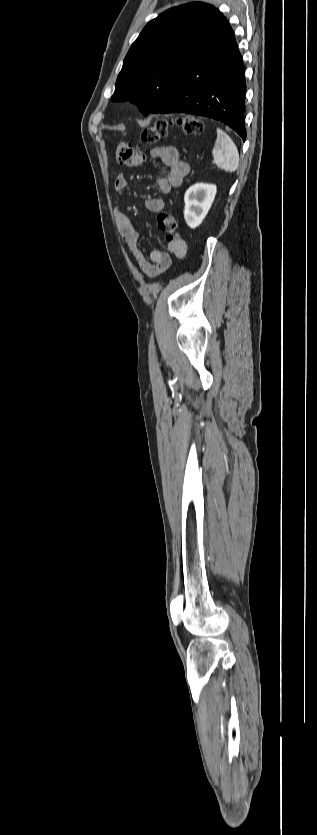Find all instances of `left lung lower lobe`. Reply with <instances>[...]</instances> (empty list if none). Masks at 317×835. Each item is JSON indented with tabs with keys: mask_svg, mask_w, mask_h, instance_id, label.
<instances>
[{
	"mask_svg": "<svg viewBox=\"0 0 317 835\" xmlns=\"http://www.w3.org/2000/svg\"><path fill=\"white\" fill-rule=\"evenodd\" d=\"M175 98L154 113L213 118L245 141V69L232 28L224 17L197 58L185 69Z\"/></svg>",
	"mask_w": 317,
	"mask_h": 835,
	"instance_id": "left-lung-lower-lobe-1",
	"label": "left lung lower lobe"
}]
</instances>
